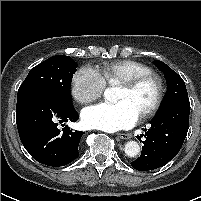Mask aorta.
Returning <instances> with one entry per match:
<instances>
[{"mask_svg": "<svg viewBox=\"0 0 201 201\" xmlns=\"http://www.w3.org/2000/svg\"><path fill=\"white\" fill-rule=\"evenodd\" d=\"M104 97L108 101H113L115 99L113 88H107L104 92ZM124 151L128 157H135L140 152V146L136 141H128L125 144Z\"/></svg>", "mask_w": 201, "mask_h": 201, "instance_id": "1", "label": "aorta"}]
</instances>
